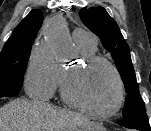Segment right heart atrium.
<instances>
[{
    "instance_id": "right-heart-atrium-1",
    "label": "right heart atrium",
    "mask_w": 151,
    "mask_h": 131,
    "mask_svg": "<svg viewBox=\"0 0 151 131\" xmlns=\"http://www.w3.org/2000/svg\"><path fill=\"white\" fill-rule=\"evenodd\" d=\"M60 75V65L53 56L42 49H34L25 72L26 92L36 99H48L58 88Z\"/></svg>"
}]
</instances>
